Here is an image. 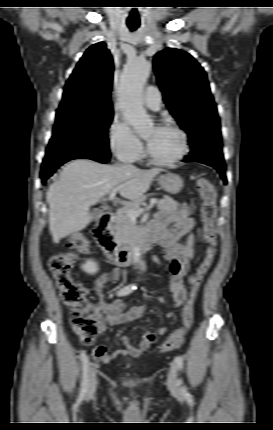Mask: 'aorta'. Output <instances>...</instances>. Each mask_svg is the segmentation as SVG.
<instances>
[{"mask_svg": "<svg viewBox=\"0 0 273 430\" xmlns=\"http://www.w3.org/2000/svg\"><path fill=\"white\" fill-rule=\"evenodd\" d=\"M151 70V62L136 58L130 61L121 78L119 86V103L124 118L139 134L146 133L152 127V120L146 113L141 101L144 84ZM131 258L135 265L140 264L141 253L138 246L131 250Z\"/></svg>", "mask_w": 273, "mask_h": 430, "instance_id": "1", "label": "aorta"}]
</instances>
